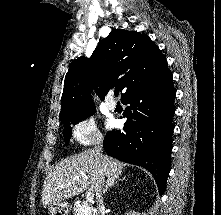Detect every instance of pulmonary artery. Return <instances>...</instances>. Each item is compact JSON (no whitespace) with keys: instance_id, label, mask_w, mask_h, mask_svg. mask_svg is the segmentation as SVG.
Masks as SVG:
<instances>
[{"instance_id":"obj_1","label":"pulmonary artery","mask_w":221,"mask_h":215,"mask_svg":"<svg viewBox=\"0 0 221 215\" xmlns=\"http://www.w3.org/2000/svg\"><path fill=\"white\" fill-rule=\"evenodd\" d=\"M106 106L108 109L113 110L116 108V102L111 97H108L106 99Z\"/></svg>"}]
</instances>
